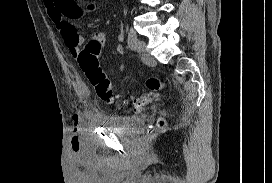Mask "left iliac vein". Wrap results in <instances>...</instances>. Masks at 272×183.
<instances>
[{"instance_id": "4c4485c4", "label": "left iliac vein", "mask_w": 272, "mask_h": 183, "mask_svg": "<svg viewBox=\"0 0 272 183\" xmlns=\"http://www.w3.org/2000/svg\"><path fill=\"white\" fill-rule=\"evenodd\" d=\"M136 49L139 54V57L144 63L150 64L154 61L153 57L150 55V53L147 50V44L145 41L138 40L136 43Z\"/></svg>"}]
</instances>
